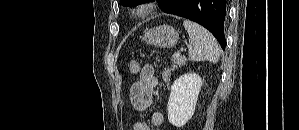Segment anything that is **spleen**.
Segmentation results:
<instances>
[{
  "label": "spleen",
  "mask_w": 299,
  "mask_h": 130,
  "mask_svg": "<svg viewBox=\"0 0 299 130\" xmlns=\"http://www.w3.org/2000/svg\"><path fill=\"white\" fill-rule=\"evenodd\" d=\"M183 25L189 35V58L192 61H209L217 63L220 57V47L208 30L190 20H184Z\"/></svg>",
  "instance_id": "3e777b00"
}]
</instances>
